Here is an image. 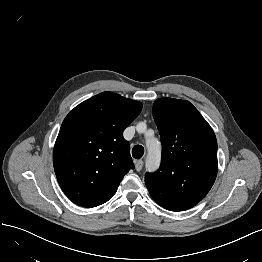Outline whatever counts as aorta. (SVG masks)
<instances>
[{
	"label": "aorta",
	"mask_w": 262,
	"mask_h": 262,
	"mask_svg": "<svg viewBox=\"0 0 262 262\" xmlns=\"http://www.w3.org/2000/svg\"><path fill=\"white\" fill-rule=\"evenodd\" d=\"M148 157L146 161V168L154 171L160 164L161 144L156 139L147 140Z\"/></svg>",
	"instance_id": "1"
}]
</instances>
